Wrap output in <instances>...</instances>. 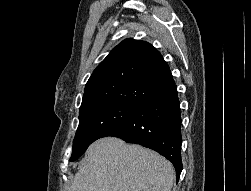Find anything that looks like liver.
Listing matches in <instances>:
<instances>
[{
	"label": "liver",
	"mask_w": 251,
	"mask_h": 191,
	"mask_svg": "<svg viewBox=\"0 0 251 191\" xmlns=\"http://www.w3.org/2000/svg\"><path fill=\"white\" fill-rule=\"evenodd\" d=\"M173 173L156 151L101 137L89 145L70 191H171Z\"/></svg>",
	"instance_id": "obj_1"
}]
</instances>
